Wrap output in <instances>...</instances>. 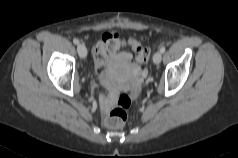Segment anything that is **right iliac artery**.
<instances>
[{
    "instance_id": "1",
    "label": "right iliac artery",
    "mask_w": 238,
    "mask_h": 158,
    "mask_svg": "<svg viewBox=\"0 0 238 158\" xmlns=\"http://www.w3.org/2000/svg\"><path fill=\"white\" fill-rule=\"evenodd\" d=\"M73 43L77 45V44H79V40L76 39V38H74V39H73Z\"/></svg>"
}]
</instances>
